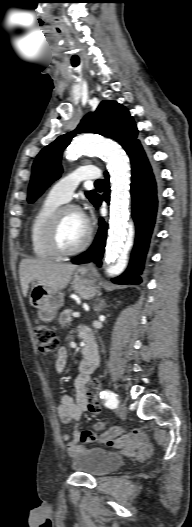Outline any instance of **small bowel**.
<instances>
[{
    "label": "small bowel",
    "instance_id": "obj_1",
    "mask_svg": "<svg viewBox=\"0 0 192 527\" xmlns=\"http://www.w3.org/2000/svg\"><path fill=\"white\" fill-rule=\"evenodd\" d=\"M81 335L85 341V345H89L93 349L97 364L98 352L93 337L87 330H83ZM66 359V350L64 348H60L55 363L56 369L58 371H62L64 369ZM93 370L94 369H84L82 362V365L80 367V373L75 380V386L77 391L76 398L74 399L70 395L63 394L60 399V404L57 408L58 417L63 425L67 426L71 423L74 424V430L72 434L69 432H64L62 435L63 440L68 442V455L71 458H75L78 454L84 451L85 447L79 444L80 441L85 444H91L97 441H102L109 445H113L120 448L123 452L127 454V458L129 460H134L137 456V462L139 464H144L146 462V457H148L152 453V446L150 445L146 437L143 434L139 433L140 429L138 427L129 429V432H133L134 434H126L127 429L123 427V424L121 422H118L116 426H110L108 432L104 431L106 427L105 423H96L94 426L95 431H104L102 432V434L94 431L81 432L78 428V423L80 421L82 413L85 411H91L89 401L87 398V392L92 386V384L95 382L92 381L90 378V375Z\"/></svg>",
    "mask_w": 192,
    "mask_h": 527
}]
</instances>
